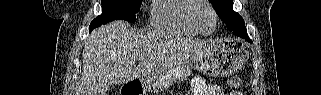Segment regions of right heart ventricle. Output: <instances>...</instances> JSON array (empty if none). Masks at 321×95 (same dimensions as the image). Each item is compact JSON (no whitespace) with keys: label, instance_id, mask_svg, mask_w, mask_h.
Here are the masks:
<instances>
[{"label":"right heart ventricle","instance_id":"obj_1","mask_svg":"<svg viewBox=\"0 0 321 95\" xmlns=\"http://www.w3.org/2000/svg\"><path fill=\"white\" fill-rule=\"evenodd\" d=\"M190 4L191 0H153L150 8L151 26L179 34H198L187 18Z\"/></svg>","mask_w":321,"mask_h":95}]
</instances>
